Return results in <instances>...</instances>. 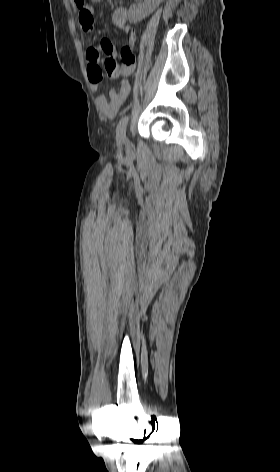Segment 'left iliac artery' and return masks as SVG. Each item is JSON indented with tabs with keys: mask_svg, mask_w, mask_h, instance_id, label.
<instances>
[{
	"mask_svg": "<svg viewBox=\"0 0 280 472\" xmlns=\"http://www.w3.org/2000/svg\"><path fill=\"white\" fill-rule=\"evenodd\" d=\"M128 121H129L128 115H125L120 119L116 128V139L118 141H124L126 139V128H127Z\"/></svg>",
	"mask_w": 280,
	"mask_h": 472,
	"instance_id": "obj_1",
	"label": "left iliac artery"
}]
</instances>
